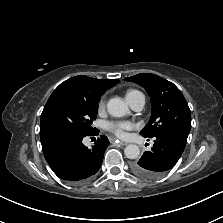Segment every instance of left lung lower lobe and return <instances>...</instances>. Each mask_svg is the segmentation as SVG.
<instances>
[{
	"label": "left lung lower lobe",
	"instance_id": "obj_1",
	"mask_svg": "<svg viewBox=\"0 0 223 223\" xmlns=\"http://www.w3.org/2000/svg\"><path fill=\"white\" fill-rule=\"evenodd\" d=\"M187 137L166 132L154 137L151 150L132 165L133 171L145 178L158 177L175 166L184 151Z\"/></svg>",
	"mask_w": 223,
	"mask_h": 223
}]
</instances>
